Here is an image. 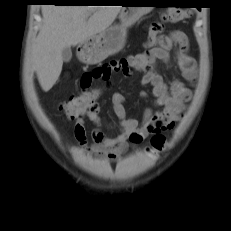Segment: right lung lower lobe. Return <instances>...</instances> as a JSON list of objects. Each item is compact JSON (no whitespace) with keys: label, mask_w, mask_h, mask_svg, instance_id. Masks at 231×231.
Segmentation results:
<instances>
[{"label":"right lung lower lobe","mask_w":231,"mask_h":231,"mask_svg":"<svg viewBox=\"0 0 231 231\" xmlns=\"http://www.w3.org/2000/svg\"><path fill=\"white\" fill-rule=\"evenodd\" d=\"M40 2H52L57 5H78L76 0H40Z\"/></svg>","instance_id":"1"}]
</instances>
